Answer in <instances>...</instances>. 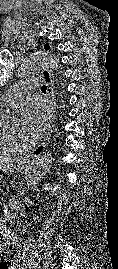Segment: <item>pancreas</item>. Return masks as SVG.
Instances as JSON below:
<instances>
[{
  "label": "pancreas",
  "instance_id": "obj_1",
  "mask_svg": "<svg viewBox=\"0 0 118 269\" xmlns=\"http://www.w3.org/2000/svg\"><path fill=\"white\" fill-rule=\"evenodd\" d=\"M2 191H3V192H8V191H9V188H8V187H3V188H2Z\"/></svg>",
  "mask_w": 118,
  "mask_h": 269
}]
</instances>
